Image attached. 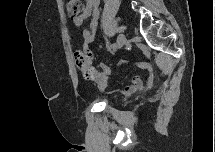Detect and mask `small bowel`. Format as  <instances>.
I'll list each match as a JSON object with an SVG mask.
<instances>
[{
	"label": "small bowel",
	"instance_id": "1",
	"mask_svg": "<svg viewBox=\"0 0 215 152\" xmlns=\"http://www.w3.org/2000/svg\"><path fill=\"white\" fill-rule=\"evenodd\" d=\"M89 18V27L83 31V49L89 50V46L95 41L98 19H99V1L98 0H86L85 6L80 15L72 17V23L76 28L83 25L85 19ZM111 75V69L108 65L101 63L100 70L96 72L92 77L87 78L97 84L100 90H104L107 84V80ZM149 85H152V78L149 80ZM143 88V81L141 77L134 76L131 83L127 85L122 94L124 96H130L138 90Z\"/></svg>",
	"mask_w": 215,
	"mask_h": 152
}]
</instances>
